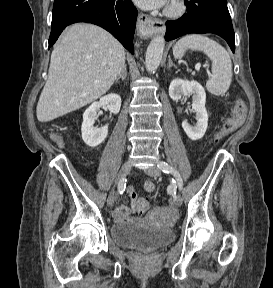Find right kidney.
Instances as JSON below:
<instances>
[{
    "label": "right kidney",
    "mask_w": 273,
    "mask_h": 288,
    "mask_svg": "<svg viewBox=\"0 0 273 288\" xmlns=\"http://www.w3.org/2000/svg\"><path fill=\"white\" fill-rule=\"evenodd\" d=\"M106 107L111 113L117 114L121 107V97L117 94H109L93 102L83 114L81 126L82 139L90 147L100 145L108 135V126L97 128L94 126L97 111L101 107Z\"/></svg>",
    "instance_id": "obj_1"
}]
</instances>
